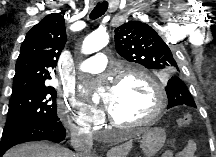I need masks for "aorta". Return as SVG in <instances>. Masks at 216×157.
<instances>
[{
  "label": "aorta",
  "mask_w": 216,
  "mask_h": 157,
  "mask_svg": "<svg viewBox=\"0 0 216 157\" xmlns=\"http://www.w3.org/2000/svg\"><path fill=\"white\" fill-rule=\"evenodd\" d=\"M108 40L109 37L106 31H95L84 39L82 44V53L86 55L95 53L105 47L108 44ZM93 99L94 101L98 100L96 94H94Z\"/></svg>",
  "instance_id": "1"
}]
</instances>
